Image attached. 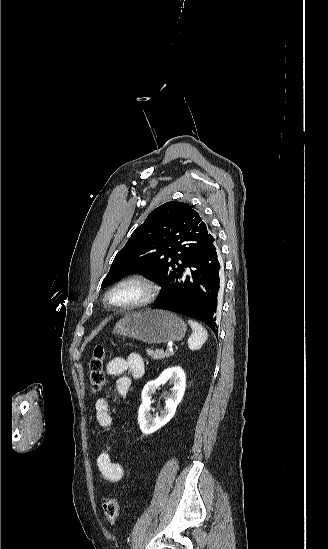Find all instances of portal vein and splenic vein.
<instances>
[{"label": "portal vein and splenic vein", "mask_w": 328, "mask_h": 549, "mask_svg": "<svg viewBox=\"0 0 328 549\" xmlns=\"http://www.w3.org/2000/svg\"><path fill=\"white\" fill-rule=\"evenodd\" d=\"M173 349L172 347L169 348V353H172Z\"/></svg>", "instance_id": "obj_1"}]
</instances>
